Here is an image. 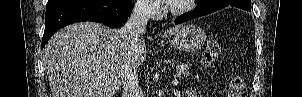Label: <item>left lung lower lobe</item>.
Listing matches in <instances>:
<instances>
[{"label":"left lung lower lobe","instance_id":"left-lung-lower-lobe-1","mask_svg":"<svg viewBox=\"0 0 302 97\" xmlns=\"http://www.w3.org/2000/svg\"><path fill=\"white\" fill-rule=\"evenodd\" d=\"M227 6L238 7L246 11H251V0H239L238 3H231L226 6L217 3L215 0H201L198 1V4L194 10L179 16L174 22L175 24H180L210 14Z\"/></svg>","mask_w":302,"mask_h":97}]
</instances>
